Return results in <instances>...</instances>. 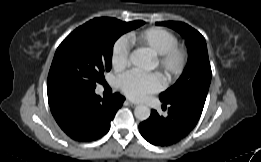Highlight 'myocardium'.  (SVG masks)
<instances>
[{
	"label": "myocardium",
	"mask_w": 261,
	"mask_h": 162,
	"mask_svg": "<svg viewBox=\"0 0 261 162\" xmlns=\"http://www.w3.org/2000/svg\"><path fill=\"white\" fill-rule=\"evenodd\" d=\"M188 59L187 50L179 45L155 55L156 65L164 73L168 81L175 80L184 73Z\"/></svg>",
	"instance_id": "f54148a6"
}]
</instances>
